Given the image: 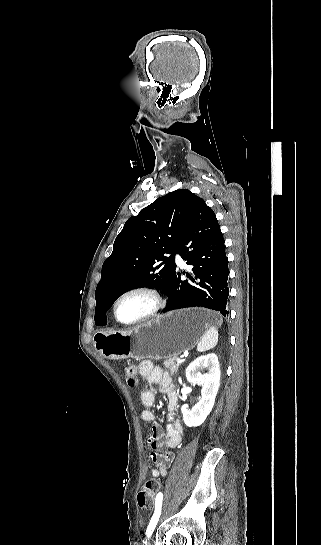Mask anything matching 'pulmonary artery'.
Here are the masks:
<instances>
[{
	"mask_svg": "<svg viewBox=\"0 0 321 545\" xmlns=\"http://www.w3.org/2000/svg\"><path fill=\"white\" fill-rule=\"evenodd\" d=\"M176 262H177V264H178L179 266H185L184 260H183L182 257L179 256V255L176 256Z\"/></svg>",
	"mask_w": 321,
	"mask_h": 545,
	"instance_id": "1",
	"label": "pulmonary artery"
}]
</instances>
